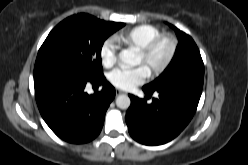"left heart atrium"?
<instances>
[{
	"mask_svg": "<svg viewBox=\"0 0 248 165\" xmlns=\"http://www.w3.org/2000/svg\"><path fill=\"white\" fill-rule=\"evenodd\" d=\"M150 76V69L146 65L134 68H119L109 75L110 83L116 88L130 90L142 84Z\"/></svg>",
	"mask_w": 248,
	"mask_h": 165,
	"instance_id": "obj_1",
	"label": "left heart atrium"
}]
</instances>
